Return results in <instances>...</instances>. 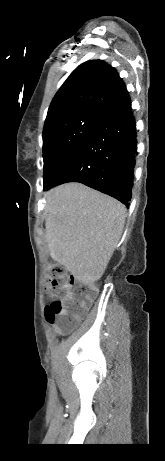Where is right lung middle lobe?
<instances>
[{
  "label": "right lung middle lobe",
  "mask_w": 165,
  "mask_h": 461,
  "mask_svg": "<svg viewBox=\"0 0 165 461\" xmlns=\"http://www.w3.org/2000/svg\"><path fill=\"white\" fill-rule=\"evenodd\" d=\"M103 120L92 115L57 119L43 130V186Z\"/></svg>",
  "instance_id": "right-lung-middle-lobe-1"
}]
</instances>
